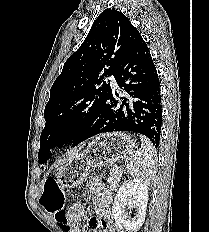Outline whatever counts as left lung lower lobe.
Returning a JSON list of instances; mask_svg holds the SVG:
<instances>
[{"label": "left lung lower lobe", "instance_id": "1", "mask_svg": "<svg viewBox=\"0 0 209 232\" xmlns=\"http://www.w3.org/2000/svg\"><path fill=\"white\" fill-rule=\"evenodd\" d=\"M127 96L121 104L111 93L84 140L105 132L129 131L148 137L157 148L162 125L160 82L150 51L141 37L133 46L116 75Z\"/></svg>", "mask_w": 209, "mask_h": 232}]
</instances>
